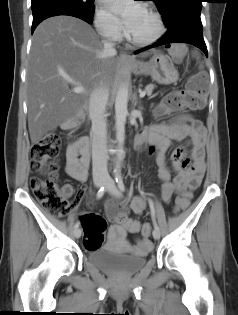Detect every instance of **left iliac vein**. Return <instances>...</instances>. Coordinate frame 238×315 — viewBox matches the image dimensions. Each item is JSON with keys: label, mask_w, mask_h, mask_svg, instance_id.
Returning a JSON list of instances; mask_svg holds the SVG:
<instances>
[{"label": "left iliac vein", "mask_w": 238, "mask_h": 315, "mask_svg": "<svg viewBox=\"0 0 238 315\" xmlns=\"http://www.w3.org/2000/svg\"><path fill=\"white\" fill-rule=\"evenodd\" d=\"M105 182H106V186H107V191L111 195H113L115 197L121 196V193L117 189L115 182L110 177H106ZM152 234H153V238L155 240H158L160 238V231L158 229H154Z\"/></svg>", "instance_id": "1"}]
</instances>
